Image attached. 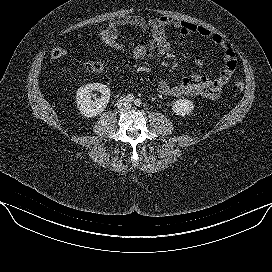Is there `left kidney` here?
<instances>
[{
	"label": "left kidney",
	"mask_w": 272,
	"mask_h": 272,
	"mask_svg": "<svg viewBox=\"0 0 272 272\" xmlns=\"http://www.w3.org/2000/svg\"><path fill=\"white\" fill-rule=\"evenodd\" d=\"M173 112L176 115L185 116L186 114H190L194 109L193 102L187 99H179L173 105Z\"/></svg>",
	"instance_id": "left-kidney-1"
}]
</instances>
